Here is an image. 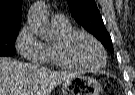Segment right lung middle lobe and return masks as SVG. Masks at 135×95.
<instances>
[{"instance_id": "right-lung-middle-lobe-1", "label": "right lung middle lobe", "mask_w": 135, "mask_h": 95, "mask_svg": "<svg viewBox=\"0 0 135 95\" xmlns=\"http://www.w3.org/2000/svg\"><path fill=\"white\" fill-rule=\"evenodd\" d=\"M19 30L0 33V56H13L15 55V41Z\"/></svg>"}]
</instances>
